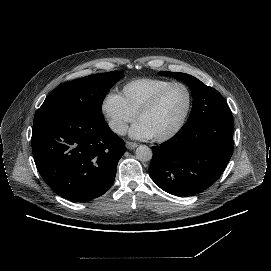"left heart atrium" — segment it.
Instances as JSON below:
<instances>
[{"label":"left heart atrium","mask_w":271,"mask_h":271,"mask_svg":"<svg viewBox=\"0 0 271 271\" xmlns=\"http://www.w3.org/2000/svg\"><path fill=\"white\" fill-rule=\"evenodd\" d=\"M130 135L135 140L150 139L152 136L146 126L141 122H137L130 130Z\"/></svg>","instance_id":"left-heart-atrium-1"}]
</instances>
